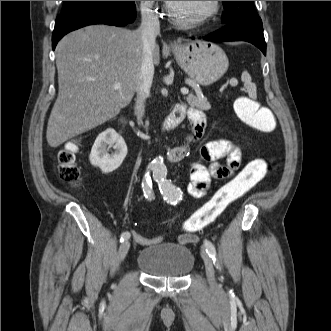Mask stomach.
Here are the masks:
<instances>
[{
    "label": "stomach",
    "instance_id": "1",
    "mask_svg": "<svg viewBox=\"0 0 331 331\" xmlns=\"http://www.w3.org/2000/svg\"><path fill=\"white\" fill-rule=\"evenodd\" d=\"M174 55L181 68L204 86L219 80L229 66L225 52L218 45L205 40L179 44L174 48Z\"/></svg>",
    "mask_w": 331,
    "mask_h": 331
}]
</instances>
